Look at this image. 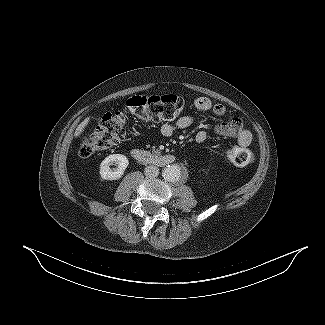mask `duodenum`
Masks as SVG:
<instances>
[{"mask_svg": "<svg viewBox=\"0 0 325 325\" xmlns=\"http://www.w3.org/2000/svg\"><path fill=\"white\" fill-rule=\"evenodd\" d=\"M131 154L136 160L154 166H167L175 162L171 154H155L140 147L133 148Z\"/></svg>", "mask_w": 325, "mask_h": 325, "instance_id": "410a0bca", "label": "duodenum"}]
</instances>
